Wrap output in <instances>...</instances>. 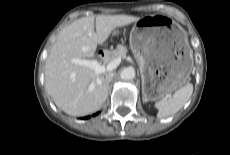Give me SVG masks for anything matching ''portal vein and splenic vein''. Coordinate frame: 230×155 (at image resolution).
Returning a JSON list of instances; mask_svg holds the SVG:
<instances>
[{
  "label": "portal vein and splenic vein",
  "mask_w": 230,
  "mask_h": 155,
  "mask_svg": "<svg viewBox=\"0 0 230 155\" xmlns=\"http://www.w3.org/2000/svg\"><path fill=\"white\" fill-rule=\"evenodd\" d=\"M72 62L75 64L89 67L95 72V74H102L114 70L120 64L121 57L115 58L114 60L110 61L107 65H103L97 60H82L76 58L72 59Z\"/></svg>",
  "instance_id": "obj_1"
}]
</instances>
